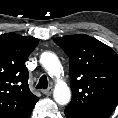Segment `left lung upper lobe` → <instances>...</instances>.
I'll return each mask as SVG.
<instances>
[{
  "label": "left lung upper lobe",
  "mask_w": 118,
  "mask_h": 118,
  "mask_svg": "<svg viewBox=\"0 0 118 118\" xmlns=\"http://www.w3.org/2000/svg\"><path fill=\"white\" fill-rule=\"evenodd\" d=\"M54 42L69 56L72 100L65 109L108 118L118 104V55L85 34L58 37Z\"/></svg>",
  "instance_id": "1"
}]
</instances>
